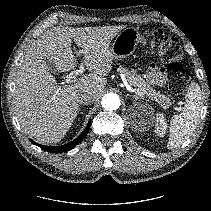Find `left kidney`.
Returning a JSON list of instances; mask_svg holds the SVG:
<instances>
[{"label": "left kidney", "instance_id": "5707ae66", "mask_svg": "<svg viewBox=\"0 0 211 211\" xmlns=\"http://www.w3.org/2000/svg\"><path fill=\"white\" fill-rule=\"evenodd\" d=\"M153 122H155V132L159 137H163L166 133L167 124L165 121V118L163 114L158 113L156 117H154L153 114H151L150 120H142V125H151Z\"/></svg>", "mask_w": 211, "mask_h": 211}]
</instances>
